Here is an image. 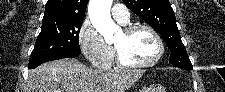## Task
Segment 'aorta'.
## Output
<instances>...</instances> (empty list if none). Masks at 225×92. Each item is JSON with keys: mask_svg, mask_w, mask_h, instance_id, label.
<instances>
[{"mask_svg": "<svg viewBox=\"0 0 225 92\" xmlns=\"http://www.w3.org/2000/svg\"><path fill=\"white\" fill-rule=\"evenodd\" d=\"M111 5L112 0H90L88 6L91 23L105 41L111 40L113 34L119 30L110 15Z\"/></svg>", "mask_w": 225, "mask_h": 92, "instance_id": "1", "label": "aorta"}]
</instances>
